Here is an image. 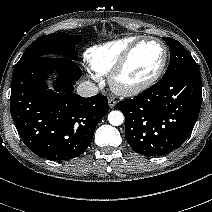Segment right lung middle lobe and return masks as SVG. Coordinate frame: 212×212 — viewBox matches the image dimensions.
<instances>
[{
	"instance_id": "obj_1",
	"label": "right lung middle lobe",
	"mask_w": 212,
	"mask_h": 212,
	"mask_svg": "<svg viewBox=\"0 0 212 212\" xmlns=\"http://www.w3.org/2000/svg\"><path fill=\"white\" fill-rule=\"evenodd\" d=\"M80 42L81 38L79 36L68 35L65 32L39 37L27 48L16 66L31 59L50 54H60L75 60L77 57V53L74 51L75 46Z\"/></svg>"
}]
</instances>
